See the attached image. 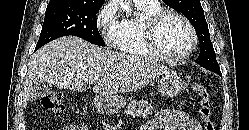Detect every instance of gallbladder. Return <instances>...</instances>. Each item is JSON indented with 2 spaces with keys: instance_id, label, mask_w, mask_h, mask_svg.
<instances>
[{
  "instance_id": "1",
  "label": "gallbladder",
  "mask_w": 249,
  "mask_h": 130,
  "mask_svg": "<svg viewBox=\"0 0 249 130\" xmlns=\"http://www.w3.org/2000/svg\"><path fill=\"white\" fill-rule=\"evenodd\" d=\"M53 93V86L44 81H38L34 84L33 88L29 94V100L35 101L38 98H44L52 95Z\"/></svg>"
}]
</instances>
